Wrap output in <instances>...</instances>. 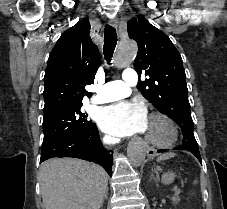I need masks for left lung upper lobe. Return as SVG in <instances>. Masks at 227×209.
Returning <instances> with one entry per match:
<instances>
[{"instance_id":"obj_1","label":"left lung upper lobe","mask_w":227,"mask_h":209,"mask_svg":"<svg viewBox=\"0 0 227 209\" xmlns=\"http://www.w3.org/2000/svg\"><path fill=\"white\" fill-rule=\"evenodd\" d=\"M129 37L138 44L134 68L148 76L137 84L138 90L159 112L174 120L182 130V149L199 152L193 133V120L187 96L182 58L162 31L139 16L128 23Z\"/></svg>"}]
</instances>
